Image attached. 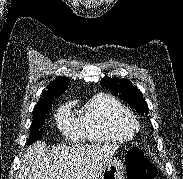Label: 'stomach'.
Instances as JSON below:
<instances>
[{
	"instance_id": "obj_1",
	"label": "stomach",
	"mask_w": 183,
	"mask_h": 179,
	"mask_svg": "<svg viewBox=\"0 0 183 179\" xmlns=\"http://www.w3.org/2000/svg\"><path fill=\"white\" fill-rule=\"evenodd\" d=\"M97 179H124L123 162L118 157L110 158Z\"/></svg>"
}]
</instances>
